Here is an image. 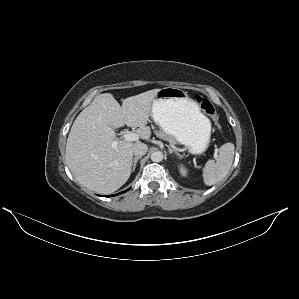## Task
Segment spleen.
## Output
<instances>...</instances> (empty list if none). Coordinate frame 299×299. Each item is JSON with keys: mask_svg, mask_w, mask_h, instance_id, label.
Returning a JSON list of instances; mask_svg holds the SVG:
<instances>
[{"mask_svg": "<svg viewBox=\"0 0 299 299\" xmlns=\"http://www.w3.org/2000/svg\"><path fill=\"white\" fill-rule=\"evenodd\" d=\"M234 150L233 143H225L220 147L218 157L206 162L203 169V180L206 185H214L227 176L233 163Z\"/></svg>", "mask_w": 299, "mask_h": 299, "instance_id": "spleen-1", "label": "spleen"}]
</instances>
